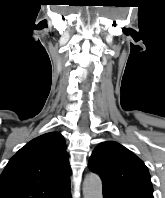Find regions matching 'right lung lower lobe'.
<instances>
[{"mask_svg": "<svg viewBox=\"0 0 165 198\" xmlns=\"http://www.w3.org/2000/svg\"><path fill=\"white\" fill-rule=\"evenodd\" d=\"M63 198H72L71 197V193H70V191L66 194V196H64Z\"/></svg>", "mask_w": 165, "mask_h": 198, "instance_id": "98d812e1", "label": "right lung lower lobe"}]
</instances>
